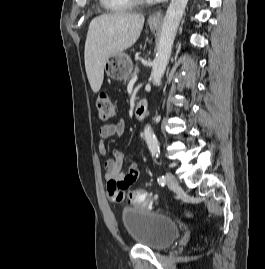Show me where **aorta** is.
Wrapping results in <instances>:
<instances>
[{
  "instance_id": "obj_1",
  "label": "aorta",
  "mask_w": 265,
  "mask_h": 269,
  "mask_svg": "<svg viewBox=\"0 0 265 269\" xmlns=\"http://www.w3.org/2000/svg\"><path fill=\"white\" fill-rule=\"evenodd\" d=\"M187 2L188 0H171L165 14L161 35L157 46V53L152 65L150 76V79L154 85L160 83L165 73L166 66L171 56L177 29ZM144 138L152 156H158L160 152L159 144L149 125L144 128Z\"/></svg>"
}]
</instances>
